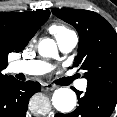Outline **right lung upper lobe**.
<instances>
[{"mask_svg": "<svg viewBox=\"0 0 117 117\" xmlns=\"http://www.w3.org/2000/svg\"><path fill=\"white\" fill-rule=\"evenodd\" d=\"M49 16V10L0 12V83L12 78L2 74L8 54L22 51Z\"/></svg>", "mask_w": 117, "mask_h": 117, "instance_id": "right-lung-upper-lobe-1", "label": "right lung upper lobe"}]
</instances>
